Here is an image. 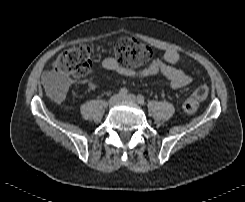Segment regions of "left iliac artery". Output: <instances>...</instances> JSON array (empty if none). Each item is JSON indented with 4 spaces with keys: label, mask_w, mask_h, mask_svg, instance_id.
Returning <instances> with one entry per match:
<instances>
[{
    "label": "left iliac artery",
    "mask_w": 245,
    "mask_h": 202,
    "mask_svg": "<svg viewBox=\"0 0 245 202\" xmlns=\"http://www.w3.org/2000/svg\"><path fill=\"white\" fill-rule=\"evenodd\" d=\"M137 99H138V102L141 104V105H144L145 104V99H144V96L139 94L137 96Z\"/></svg>",
    "instance_id": "left-iliac-artery-1"
}]
</instances>
